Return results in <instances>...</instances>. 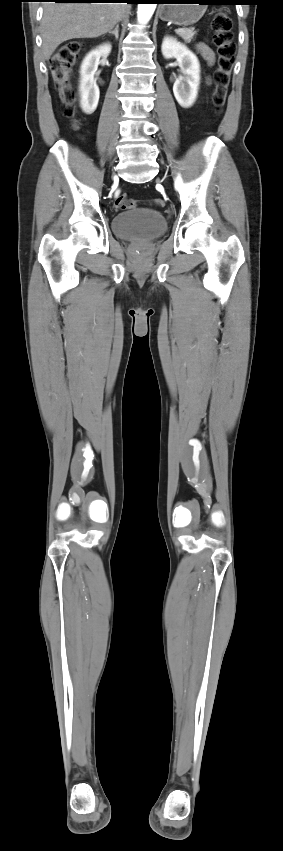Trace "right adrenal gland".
I'll use <instances>...</instances> for the list:
<instances>
[{"mask_svg": "<svg viewBox=\"0 0 283 851\" xmlns=\"http://www.w3.org/2000/svg\"><path fill=\"white\" fill-rule=\"evenodd\" d=\"M108 33L114 35L116 40H118V38H119V25H116L115 29L113 31H109Z\"/></svg>", "mask_w": 283, "mask_h": 851, "instance_id": "right-adrenal-gland-1", "label": "right adrenal gland"}]
</instances>
